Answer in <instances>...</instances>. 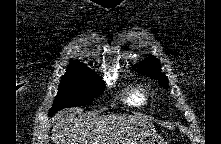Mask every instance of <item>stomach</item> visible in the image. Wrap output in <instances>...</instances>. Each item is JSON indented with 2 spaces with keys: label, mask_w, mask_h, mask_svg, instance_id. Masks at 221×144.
I'll return each mask as SVG.
<instances>
[{
  "label": "stomach",
  "mask_w": 221,
  "mask_h": 144,
  "mask_svg": "<svg viewBox=\"0 0 221 144\" xmlns=\"http://www.w3.org/2000/svg\"><path fill=\"white\" fill-rule=\"evenodd\" d=\"M138 144H165V141L159 135L151 133L141 137Z\"/></svg>",
  "instance_id": "1"
}]
</instances>
